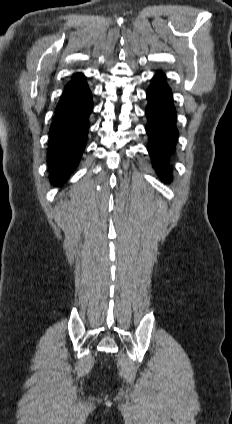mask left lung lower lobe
Instances as JSON below:
<instances>
[{"mask_svg":"<svg viewBox=\"0 0 232 424\" xmlns=\"http://www.w3.org/2000/svg\"><path fill=\"white\" fill-rule=\"evenodd\" d=\"M148 105L146 131L149 136L148 151L158 175L165 181H171L166 171V160L175 150L178 137L176 129V111L173 105L171 89L166 84L163 73L154 76L147 90Z\"/></svg>","mask_w":232,"mask_h":424,"instance_id":"obj_1","label":"left lung lower lobe"}]
</instances>
